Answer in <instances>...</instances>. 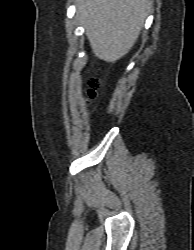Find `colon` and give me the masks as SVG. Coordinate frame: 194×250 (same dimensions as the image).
Here are the masks:
<instances>
[{"label":"colon","instance_id":"colon-1","mask_svg":"<svg viewBox=\"0 0 194 250\" xmlns=\"http://www.w3.org/2000/svg\"><path fill=\"white\" fill-rule=\"evenodd\" d=\"M98 86V81L96 79H91L88 82V94L89 96H93Z\"/></svg>","mask_w":194,"mask_h":250}]
</instances>
